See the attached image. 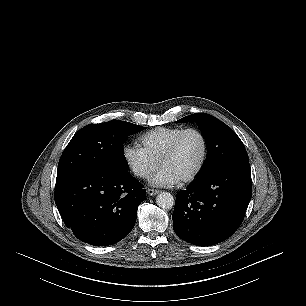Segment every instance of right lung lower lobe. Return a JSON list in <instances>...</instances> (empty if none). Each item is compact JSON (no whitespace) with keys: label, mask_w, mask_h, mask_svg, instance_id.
Instances as JSON below:
<instances>
[{"label":"right lung lower lobe","mask_w":306,"mask_h":306,"mask_svg":"<svg viewBox=\"0 0 306 306\" xmlns=\"http://www.w3.org/2000/svg\"><path fill=\"white\" fill-rule=\"evenodd\" d=\"M145 195L128 171L85 169L57 179L54 198L65 225L79 240L108 246L133 229Z\"/></svg>","instance_id":"right-lung-lower-lobe-1"}]
</instances>
